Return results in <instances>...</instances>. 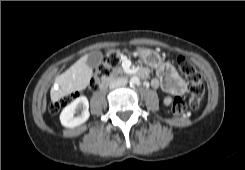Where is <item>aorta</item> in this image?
<instances>
[{"label":"aorta","instance_id":"obj_1","mask_svg":"<svg viewBox=\"0 0 245 170\" xmlns=\"http://www.w3.org/2000/svg\"><path fill=\"white\" fill-rule=\"evenodd\" d=\"M139 84H140V79L138 76H132L130 78V85L135 86V85H139Z\"/></svg>","mask_w":245,"mask_h":170}]
</instances>
